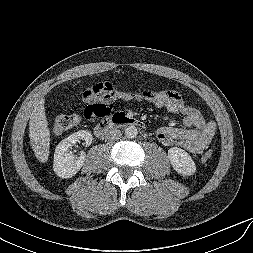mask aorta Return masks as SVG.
I'll return each instance as SVG.
<instances>
[{
  "mask_svg": "<svg viewBox=\"0 0 253 253\" xmlns=\"http://www.w3.org/2000/svg\"><path fill=\"white\" fill-rule=\"evenodd\" d=\"M124 134H125L126 138H128V139H134L138 135V130H137V128L134 125H131V126H128L125 129Z\"/></svg>",
  "mask_w": 253,
  "mask_h": 253,
  "instance_id": "1",
  "label": "aorta"
}]
</instances>
